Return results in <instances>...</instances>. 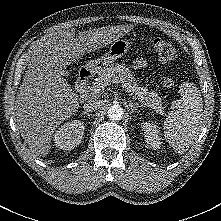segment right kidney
<instances>
[{
	"label": "right kidney",
	"mask_w": 221,
	"mask_h": 221,
	"mask_svg": "<svg viewBox=\"0 0 221 221\" xmlns=\"http://www.w3.org/2000/svg\"><path fill=\"white\" fill-rule=\"evenodd\" d=\"M84 128V124L80 120L65 123L54 134L55 146L62 150L77 147L83 138Z\"/></svg>",
	"instance_id": "obj_1"
}]
</instances>
